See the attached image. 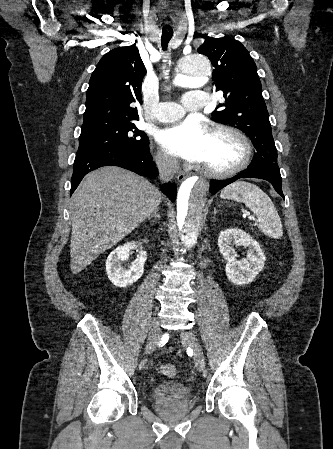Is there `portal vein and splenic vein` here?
I'll use <instances>...</instances> for the list:
<instances>
[{
  "instance_id": "18ae733b",
  "label": "portal vein and splenic vein",
  "mask_w": 333,
  "mask_h": 449,
  "mask_svg": "<svg viewBox=\"0 0 333 449\" xmlns=\"http://www.w3.org/2000/svg\"><path fill=\"white\" fill-rule=\"evenodd\" d=\"M247 215H248V219H249L250 221L254 220V216H253V215H249V214H247Z\"/></svg>"
}]
</instances>
